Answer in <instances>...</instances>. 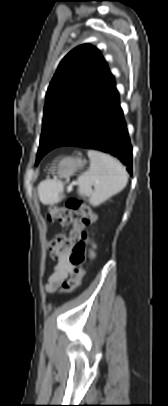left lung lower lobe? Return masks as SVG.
<instances>
[{
	"label": "left lung lower lobe",
	"instance_id": "left-lung-lower-lobe-1",
	"mask_svg": "<svg viewBox=\"0 0 168 406\" xmlns=\"http://www.w3.org/2000/svg\"><path fill=\"white\" fill-rule=\"evenodd\" d=\"M62 145L110 153L125 165L130 166L127 171L132 174V146L115 81L94 106L81 129Z\"/></svg>",
	"mask_w": 168,
	"mask_h": 406
}]
</instances>
